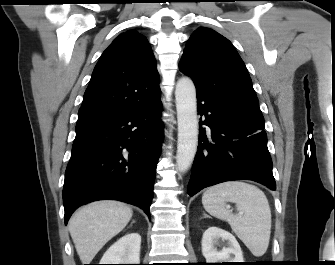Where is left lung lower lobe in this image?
Segmentation results:
<instances>
[{"label":"left lung lower lobe","instance_id":"0a47b994","mask_svg":"<svg viewBox=\"0 0 335 265\" xmlns=\"http://www.w3.org/2000/svg\"><path fill=\"white\" fill-rule=\"evenodd\" d=\"M199 122L198 151L187 193L230 180H253L276 189L267 148L264 119L196 91ZM201 120V118H200ZM210 127L206 132L202 125Z\"/></svg>","mask_w":335,"mask_h":265}]
</instances>
